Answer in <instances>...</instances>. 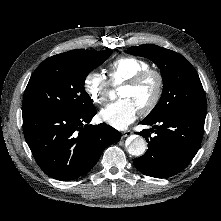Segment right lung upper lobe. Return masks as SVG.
I'll return each mask as SVG.
<instances>
[{
  "label": "right lung upper lobe",
  "instance_id": "cb5924a9",
  "mask_svg": "<svg viewBox=\"0 0 221 221\" xmlns=\"http://www.w3.org/2000/svg\"><path fill=\"white\" fill-rule=\"evenodd\" d=\"M85 51H87V50L79 49V50H72V51H69V52H65L64 54L75 55V54H81V53H84Z\"/></svg>",
  "mask_w": 221,
  "mask_h": 221
}]
</instances>
